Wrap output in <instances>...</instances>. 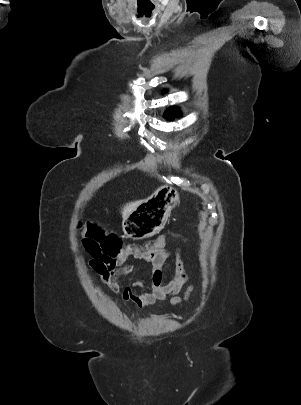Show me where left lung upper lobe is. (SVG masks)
Instances as JSON below:
<instances>
[{
    "label": "left lung upper lobe",
    "mask_w": 301,
    "mask_h": 405,
    "mask_svg": "<svg viewBox=\"0 0 301 405\" xmlns=\"http://www.w3.org/2000/svg\"><path fill=\"white\" fill-rule=\"evenodd\" d=\"M165 92V91H164ZM180 111L177 108H169L166 110L164 116L174 118V116H179Z\"/></svg>",
    "instance_id": "left-lung-upper-lobe-1"
}]
</instances>
